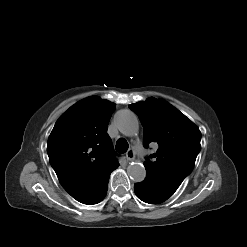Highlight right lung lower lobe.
Listing matches in <instances>:
<instances>
[{
  "mask_svg": "<svg viewBox=\"0 0 247 247\" xmlns=\"http://www.w3.org/2000/svg\"><path fill=\"white\" fill-rule=\"evenodd\" d=\"M111 172L106 174L101 180H99L94 186H92L84 195L77 198L76 200L87 205H92L100 202L107 194L108 181Z\"/></svg>",
  "mask_w": 247,
  "mask_h": 247,
  "instance_id": "98d812e1",
  "label": "right lung lower lobe"
}]
</instances>
